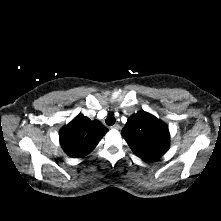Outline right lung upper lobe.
I'll return each mask as SVG.
<instances>
[{"label":"right lung upper lobe","instance_id":"right-lung-upper-lobe-1","mask_svg":"<svg viewBox=\"0 0 221 221\" xmlns=\"http://www.w3.org/2000/svg\"><path fill=\"white\" fill-rule=\"evenodd\" d=\"M107 131L100 121L79 114L60 130V144L69 156L80 158L89 154Z\"/></svg>","mask_w":221,"mask_h":221}]
</instances>
